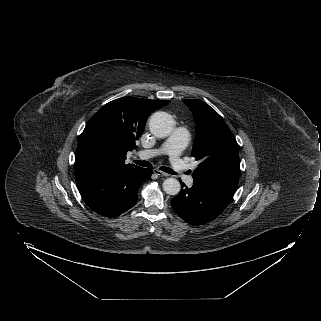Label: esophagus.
Masks as SVG:
<instances>
[{
    "mask_svg": "<svg viewBox=\"0 0 321 321\" xmlns=\"http://www.w3.org/2000/svg\"><path fill=\"white\" fill-rule=\"evenodd\" d=\"M153 173L156 174L157 176H169L167 173L158 169H153Z\"/></svg>",
    "mask_w": 321,
    "mask_h": 321,
    "instance_id": "34e87169",
    "label": "esophagus"
}]
</instances>
